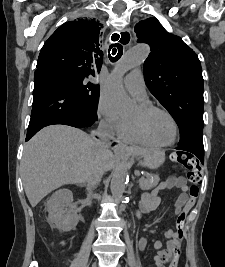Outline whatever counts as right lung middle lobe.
<instances>
[{
    "label": "right lung middle lobe",
    "instance_id": "1",
    "mask_svg": "<svg viewBox=\"0 0 225 267\" xmlns=\"http://www.w3.org/2000/svg\"><path fill=\"white\" fill-rule=\"evenodd\" d=\"M60 76L74 91L84 107L97 119L96 111L99 98V86L87 82L85 77L65 73H56Z\"/></svg>",
    "mask_w": 225,
    "mask_h": 267
}]
</instances>
